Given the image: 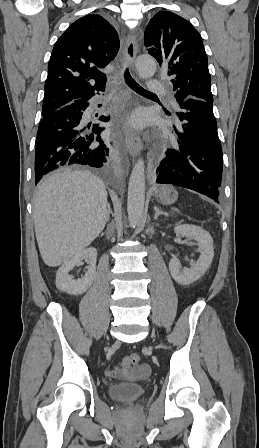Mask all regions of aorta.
Returning a JSON list of instances; mask_svg holds the SVG:
<instances>
[{"label": "aorta", "instance_id": "1", "mask_svg": "<svg viewBox=\"0 0 259 448\" xmlns=\"http://www.w3.org/2000/svg\"><path fill=\"white\" fill-rule=\"evenodd\" d=\"M136 69L140 77L150 78L156 71V61L148 55L136 59ZM145 200V165L139 159L131 172L128 185L127 212L130 227H135L141 220Z\"/></svg>", "mask_w": 259, "mask_h": 448}]
</instances>
